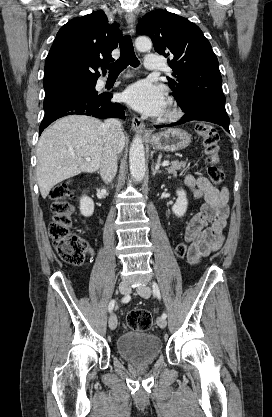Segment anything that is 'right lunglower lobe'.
<instances>
[{
    "instance_id": "1",
    "label": "right lung lower lobe",
    "mask_w": 272,
    "mask_h": 417,
    "mask_svg": "<svg viewBox=\"0 0 272 417\" xmlns=\"http://www.w3.org/2000/svg\"><path fill=\"white\" fill-rule=\"evenodd\" d=\"M96 85L95 82H91ZM112 94L93 92H74L57 96L44 104L45 116L39 127V134L53 121L66 115L80 114L97 118H124V107L111 102Z\"/></svg>"
}]
</instances>
